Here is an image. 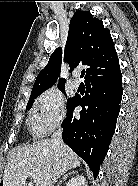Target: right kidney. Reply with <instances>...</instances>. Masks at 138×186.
Masks as SVG:
<instances>
[{"mask_svg": "<svg viewBox=\"0 0 138 186\" xmlns=\"http://www.w3.org/2000/svg\"><path fill=\"white\" fill-rule=\"evenodd\" d=\"M66 186H88L84 176L78 175L66 184Z\"/></svg>", "mask_w": 138, "mask_h": 186, "instance_id": "ca27d5eb", "label": "right kidney"}]
</instances>
